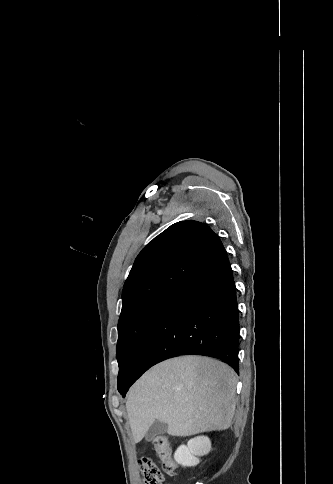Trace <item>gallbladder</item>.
I'll return each instance as SVG.
<instances>
[{"label": "gallbladder", "instance_id": "obj_1", "mask_svg": "<svg viewBox=\"0 0 333 484\" xmlns=\"http://www.w3.org/2000/svg\"><path fill=\"white\" fill-rule=\"evenodd\" d=\"M167 431V424L155 421L145 434L147 441H152L156 436L163 435Z\"/></svg>", "mask_w": 333, "mask_h": 484}]
</instances>
